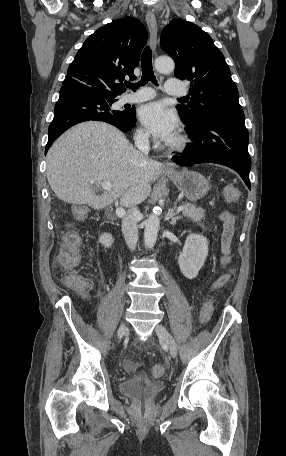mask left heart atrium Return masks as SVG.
Masks as SVG:
<instances>
[{
    "instance_id": "39dd6f15",
    "label": "left heart atrium",
    "mask_w": 286,
    "mask_h": 456,
    "mask_svg": "<svg viewBox=\"0 0 286 456\" xmlns=\"http://www.w3.org/2000/svg\"><path fill=\"white\" fill-rule=\"evenodd\" d=\"M139 118L156 139L170 143L176 137L178 119L163 103L152 102L144 105L140 109Z\"/></svg>"
}]
</instances>
